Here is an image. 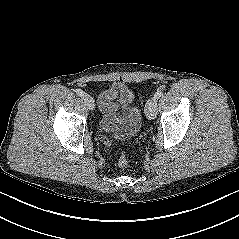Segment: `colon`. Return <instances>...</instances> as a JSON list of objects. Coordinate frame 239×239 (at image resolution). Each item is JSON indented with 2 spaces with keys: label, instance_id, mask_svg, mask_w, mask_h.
I'll list each match as a JSON object with an SVG mask.
<instances>
[{
  "label": "colon",
  "instance_id": "obj_1",
  "mask_svg": "<svg viewBox=\"0 0 239 239\" xmlns=\"http://www.w3.org/2000/svg\"><path fill=\"white\" fill-rule=\"evenodd\" d=\"M118 164L120 167L125 168L129 164L128 155L125 149H121L118 154Z\"/></svg>",
  "mask_w": 239,
  "mask_h": 239
}]
</instances>
